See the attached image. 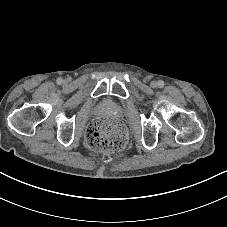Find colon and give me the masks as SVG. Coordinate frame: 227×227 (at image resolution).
Instances as JSON below:
<instances>
[{
  "instance_id": "obj_1",
  "label": "colon",
  "mask_w": 227,
  "mask_h": 227,
  "mask_svg": "<svg viewBox=\"0 0 227 227\" xmlns=\"http://www.w3.org/2000/svg\"><path fill=\"white\" fill-rule=\"evenodd\" d=\"M85 141L94 151L117 152L125 147L127 132L118 121L102 117L88 126Z\"/></svg>"
}]
</instances>
